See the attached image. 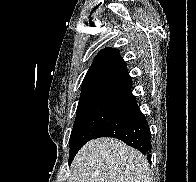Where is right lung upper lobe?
Returning a JSON list of instances; mask_svg holds the SVG:
<instances>
[{"mask_svg":"<svg viewBox=\"0 0 196 182\" xmlns=\"http://www.w3.org/2000/svg\"><path fill=\"white\" fill-rule=\"evenodd\" d=\"M132 79L126 62L115 48H105L94 58L81 88L77 108L95 103H114L137 107L131 92Z\"/></svg>","mask_w":196,"mask_h":182,"instance_id":"cb5924a9","label":"right lung upper lobe"}]
</instances>
